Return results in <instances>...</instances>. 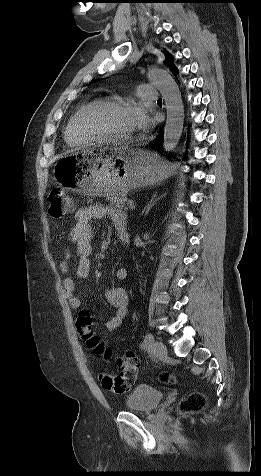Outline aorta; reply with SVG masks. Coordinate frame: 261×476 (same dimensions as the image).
I'll return each mask as SVG.
<instances>
[{"label":"aorta","instance_id":"aorta-1","mask_svg":"<svg viewBox=\"0 0 261 476\" xmlns=\"http://www.w3.org/2000/svg\"><path fill=\"white\" fill-rule=\"evenodd\" d=\"M149 81L158 88L165 101L167 119L164 128L163 148L173 151L180 139L184 123V106L181 92L175 80L166 71L152 69L148 74Z\"/></svg>","mask_w":261,"mask_h":476}]
</instances>
